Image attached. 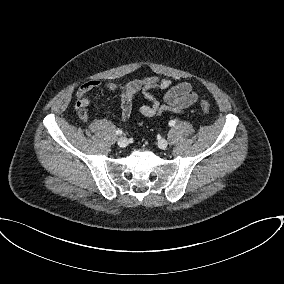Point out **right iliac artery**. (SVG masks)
I'll use <instances>...</instances> for the list:
<instances>
[{"label": "right iliac artery", "instance_id": "82829eb1", "mask_svg": "<svg viewBox=\"0 0 284 284\" xmlns=\"http://www.w3.org/2000/svg\"><path fill=\"white\" fill-rule=\"evenodd\" d=\"M116 134H117V135H121V134H122V130L118 129V130L116 131Z\"/></svg>", "mask_w": 284, "mask_h": 284}]
</instances>
